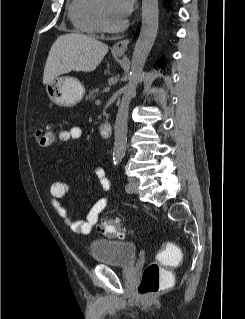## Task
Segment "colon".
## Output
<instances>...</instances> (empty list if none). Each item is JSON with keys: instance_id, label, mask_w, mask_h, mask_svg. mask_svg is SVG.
I'll use <instances>...</instances> for the list:
<instances>
[{"instance_id": "5ec220e1", "label": "colon", "mask_w": 245, "mask_h": 319, "mask_svg": "<svg viewBox=\"0 0 245 319\" xmlns=\"http://www.w3.org/2000/svg\"><path fill=\"white\" fill-rule=\"evenodd\" d=\"M35 140L39 146L46 147L54 143L55 134L52 130L44 127L35 128ZM97 230L107 236L124 238L127 229L121 223L113 219H102L97 223ZM183 255L180 249L170 243L158 252L156 261L150 263L144 270L138 292L144 297H152L171 283V279L163 268V265L178 263Z\"/></svg>"}]
</instances>
